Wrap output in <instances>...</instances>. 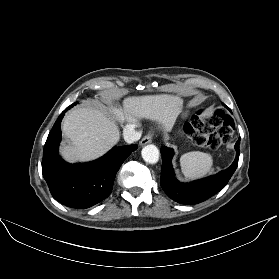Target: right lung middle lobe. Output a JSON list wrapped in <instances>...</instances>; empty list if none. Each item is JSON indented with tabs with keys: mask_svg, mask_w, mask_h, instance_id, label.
<instances>
[{
	"mask_svg": "<svg viewBox=\"0 0 279 279\" xmlns=\"http://www.w3.org/2000/svg\"><path fill=\"white\" fill-rule=\"evenodd\" d=\"M77 103H74V104H72V105H70L69 107H68V109H70L71 107H73L74 105H76Z\"/></svg>",
	"mask_w": 279,
	"mask_h": 279,
	"instance_id": "dd1d6c3e",
	"label": "right lung middle lobe"
}]
</instances>
